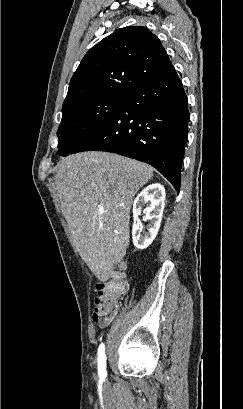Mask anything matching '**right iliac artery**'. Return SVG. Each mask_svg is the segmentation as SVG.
<instances>
[{"instance_id":"obj_1","label":"right iliac artery","mask_w":243,"mask_h":409,"mask_svg":"<svg viewBox=\"0 0 243 409\" xmlns=\"http://www.w3.org/2000/svg\"><path fill=\"white\" fill-rule=\"evenodd\" d=\"M98 374L101 380L106 377V355L105 346L102 343L98 349Z\"/></svg>"}]
</instances>
